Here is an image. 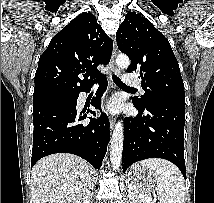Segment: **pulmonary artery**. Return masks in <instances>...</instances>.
Segmentation results:
<instances>
[{"instance_id": "1", "label": "pulmonary artery", "mask_w": 214, "mask_h": 203, "mask_svg": "<svg viewBox=\"0 0 214 203\" xmlns=\"http://www.w3.org/2000/svg\"><path fill=\"white\" fill-rule=\"evenodd\" d=\"M124 83L126 86H129V87L141 88L139 80L134 78L131 73H127L124 76Z\"/></svg>"}]
</instances>
